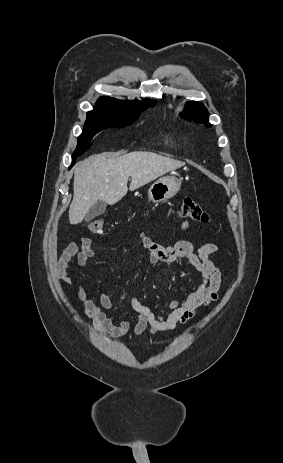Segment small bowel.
<instances>
[{"mask_svg": "<svg viewBox=\"0 0 283 463\" xmlns=\"http://www.w3.org/2000/svg\"><path fill=\"white\" fill-rule=\"evenodd\" d=\"M178 225L183 230L189 228L187 222H178ZM137 236L142 248L149 253V265L158 263L170 265L176 259H184L200 274L201 282L195 290L188 293L183 299L166 303L164 314L156 313L137 299H132L131 306L138 314V321L133 330L135 335L171 331L190 320L198 309L217 299L222 275L219 268L210 259L217 252L218 248L215 244L206 243L195 250L190 241L184 240L172 246H163L144 233H138ZM94 255L90 238H82L80 244L70 242L56 263L60 280L71 286L72 277L68 272L70 263L76 259L80 267L87 268L89 259ZM77 298L83 303L85 314L93 320L100 331H105L110 337H121L129 331L128 321L120 320L114 324L111 318L104 313L103 309L111 310L113 308V303L107 295L100 294L98 300L94 301L89 298L85 287L79 285Z\"/></svg>", "mask_w": 283, "mask_h": 463, "instance_id": "small-bowel-1", "label": "small bowel"}]
</instances>
